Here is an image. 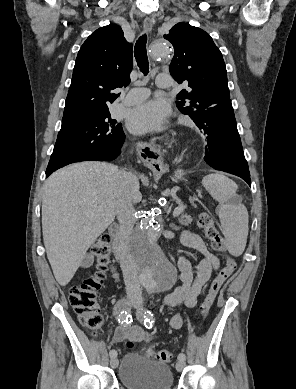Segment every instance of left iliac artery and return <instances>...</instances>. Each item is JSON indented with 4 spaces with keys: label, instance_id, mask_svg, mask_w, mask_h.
<instances>
[{
    "label": "left iliac artery",
    "instance_id": "1",
    "mask_svg": "<svg viewBox=\"0 0 296 389\" xmlns=\"http://www.w3.org/2000/svg\"><path fill=\"white\" fill-rule=\"evenodd\" d=\"M138 318L140 320L144 319V325H145L146 328H148V329L152 328V326H153L152 324L154 323L155 318H154L153 314L151 313V311L147 310V311L143 312V316H142L141 312L139 311L138 312ZM185 359H186L185 354L183 352H181L178 355V360H184L185 361Z\"/></svg>",
    "mask_w": 296,
    "mask_h": 389
}]
</instances>
